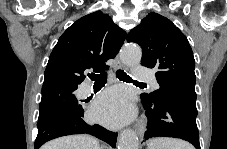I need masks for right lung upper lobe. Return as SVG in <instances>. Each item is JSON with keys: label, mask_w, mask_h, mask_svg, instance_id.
Returning <instances> with one entry per match:
<instances>
[{"label": "right lung upper lobe", "mask_w": 227, "mask_h": 149, "mask_svg": "<svg viewBox=\"0 0 227 149\" xmlns=\"http://www.w3.org/2000/svg\"><path fill=\"white\" fill-rule=\"evenodd\" d=\"M126 38L108 14H88L71 25L50 54L43 87L55 84L78 86L86 70H107L105 62L114 58Z\"/></svg>", "instance_id": "right-lung-upper-lobe-1"}]
</instances>
